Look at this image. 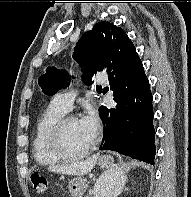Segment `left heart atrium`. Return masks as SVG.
Listing matches in <instances>:
<instances>
[{
	"label": "left heart atrium",
	"instance_id": "1",
	"mask_svg": "<svg viewBox=\"0 0 191 197\" xmlns=\"http://www.w3.org/2000/svg\"><path fill=\"white\" fill-rule=\"evenodd\" d=\"M79 124L85 135L93 141L100 129V121L97 113L89 109L79 120Z\"/></svg>",
	"mask_w": 191,
	"mask_h": 197
}]
</instances>
